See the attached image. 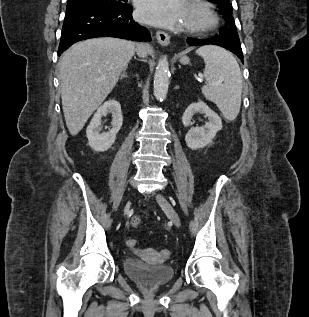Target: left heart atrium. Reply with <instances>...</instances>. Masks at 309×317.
I'll return each mask as SVG.
<instances>
[{
    "label": "left heart atrium",
    "mask_w": 309,
    "mask_h": 317,
    "mask_svg": "<svg viewBox=\"0 0 309 317\" xmlns=\"http://www.w3.org/2000/svg\"><path fill=\"white\" fill-rule=\"evenodd\" d=\"M189 11L187 0H140L136 15L144 23L177 29L186 24Z\"/></svg>",
    "instance_id": "obj_1"
}]
</instances>
